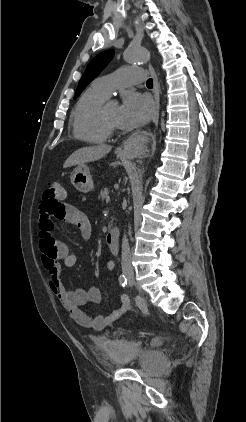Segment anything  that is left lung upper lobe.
I'll use <instances>...</instances> for the list:
<instances>
[{"label": "left lung upper lobe", "mask_w": 246, "mask_h": 422, "mask_svg": "<svg viewBox=\"0 0 246 422\" xmlns=\"http://www.w3.org/2000/svg\"><path fill=\"white\" fill-rule=\"evenodd\" d=\"M114 56L113 50H106L98 54L88 64L83 76L81 77L74 98H77L86 86L99 75Z\"/></svg>", "instance_id": "5c2ea615"}]
</instances>
